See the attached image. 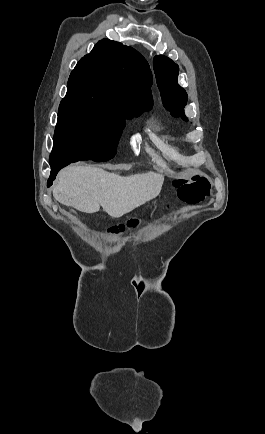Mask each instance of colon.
<instances>
[{
  "mask_svg": "<svg viewBox=\"0 0 265 434\" xmlns=\"http://www.w3.org/2000/svg\"><path fill=\"white\" fill-rule=\"evenodd\" d=\"M207 181L204 172H195L189 180H175L174 187L177 193H184V202H209V193H202L207 188ZM162 208L172 209L171 202H164ZM140 225L139 220H130L125 224L112 226L108 230V235L117 236L127 231L134 232Z\"/></svg>",
  "mask_w": 265,
  "mask_h": 434,
  "instance_id": "obj_1",
  "label": "colon"
}]
</instances>
